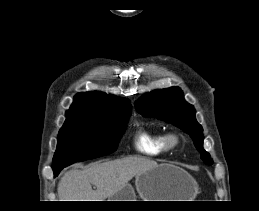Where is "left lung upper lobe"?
<instances>
[{
  "label": "left lung upper lobe",
  "instance_id": "obj_1",
  "mask_svg": "<svg viewBox=\"0 0 259 211\" xmlns=\"http://www.w3.org/2000/svg\"><path fill=\"white\" fill-rule=\"evenodd\" d=\"M136 108L143 116L156 117L172 123L188 133L201 153L202 160L208 164L213 163L209 153L203 149V129L196 121V111L184 100L180 88L170 87L146 94L136 102Z\"/></svg>",
  "mask_w": 259,
  "mask_h": 211
}]
</instances>
